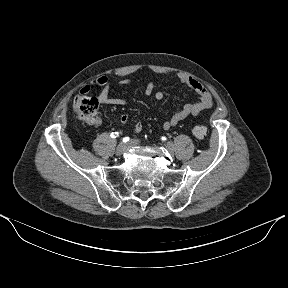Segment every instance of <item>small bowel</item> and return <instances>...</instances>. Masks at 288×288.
I'll use <instances>...</instances> for the list:
<instances>
[{
	"instance_id": "c3829d8e",
	"label": "small bowel",
	"mask_w": 288,
	"mask_h": 288,
	"mask_svg": "<svg viewBox=\"0 0 288 288\" xmlns=\"http://www.w3.org/2000/svg\"><path fill=\"white\" fill-rule=\"evenodd\" d=\"M178 80L190 87L197 95L198 100L185 104L179 110H177L168 120L163 123L164 129H170L176 126L181 121L185 120L189 116H198L204 110L210 108L213 105V99L210 92L207 88L202 85L199 81L194 79L193 77L186 74H178ZM121 86L128 87L130 86V81L128 79H122L119 81ZM112 82L109 78L102 76L95 79L91 84H87L83 86L80 90L81 94H88L91 91V88L98 87L100 88V93L98 95V100L103 106H122L127 103L126 98H116L110 96V88ZM146 95H154L156 100H162L164 97V93L160 90H156L155 83H149L145 88ZM128 121V116L126 114H122L120 116V122L122 124H126ZM101 120L98 121L94 125H99ZM142 129V124L140 122H136L131 126V131L133 133H138Z\"/></svg>"
}]
</instances>
